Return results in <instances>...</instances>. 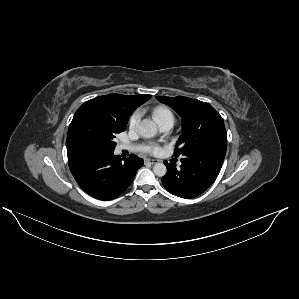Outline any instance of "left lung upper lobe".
Returning a JSON list of instances; mask_svg holds the SVG:
<instances>
[{"label":"left lung upper lobe","mask_w":299,"mask_h":299,"mask_svg":"<svg viewBox=\"0 0 299 299\" xmlns=\"http://www.w3.org/2000/svg\"><path fill=\"white\" fill-rule=\"evenodd\" d=\"M156 98L182 117V134L176 143L174 156H186L205 148L227 147L223 118L210 104L184 96Z\"/></svg>","instance_id":"5c2ea615"}]
</instances>
